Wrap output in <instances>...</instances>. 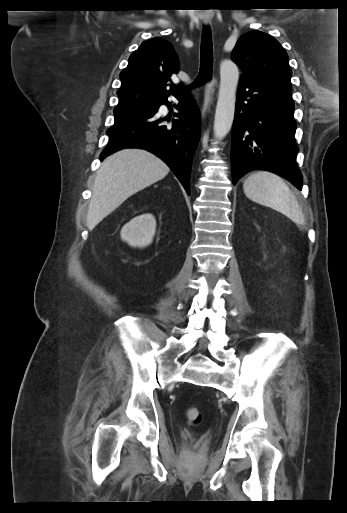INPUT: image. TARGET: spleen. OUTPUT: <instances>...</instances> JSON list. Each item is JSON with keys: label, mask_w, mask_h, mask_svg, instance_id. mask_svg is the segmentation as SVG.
I'll return each instance as SVG.
<instances>
[{"label": "spleen", "mask_w": 347, "mask_h": 513, "mask_svg": "<svg viewBox=\"0 0 347 513\" xmlns=\"http://www.w3.org/2000/svg\"><path fill=\"white\" fill-rule=\"evenodd\" d=\"M244 194L253 202L268 206L286 215L297 224H303L304 215L288 185L276 174L257 171L243 183Z\"/></svg>", "instance_id": "1"}]
</instances>
